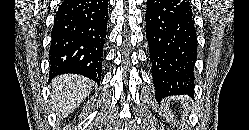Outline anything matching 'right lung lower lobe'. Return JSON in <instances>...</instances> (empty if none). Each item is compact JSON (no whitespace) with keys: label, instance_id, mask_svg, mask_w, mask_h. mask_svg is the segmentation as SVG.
Masks as SVG:
<instances>
[{"label":"right lung lower lobe","instance_id":"98d812e1","mask_svg":"<svg viewBox=\"0 0 249 130\" xmlns=\"http://www.w3.org/2000/svg\"><path fill=\"white\" fill-rule=\"evenodd\" d=\"M108 0H66L58 8L49 49L51 78L80 74L100 83Z\"/></svg>","mask_w":249,"mask_h":130}]
</instances>
